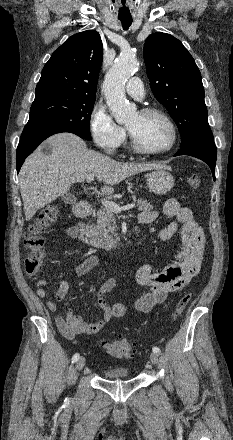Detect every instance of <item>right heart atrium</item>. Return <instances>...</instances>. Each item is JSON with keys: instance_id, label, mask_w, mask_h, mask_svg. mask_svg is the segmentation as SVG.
<instances>
[{"instance_id": "1", "label": "right heart atrium", "mask_w": 233, "mask_h": 440, "mask_svg": "<svg viewBox=\"0 0 233 440\" xmlns=\"http://www.w3.org/2000/svg\"><path fill=\"white\" fill-rule=\"evenodd\" d=\"M89 129L95 144L107 154H114L126 139L125 129L118 125L101 105H95L92 109Z\"/></svg>"}]
</instances>
